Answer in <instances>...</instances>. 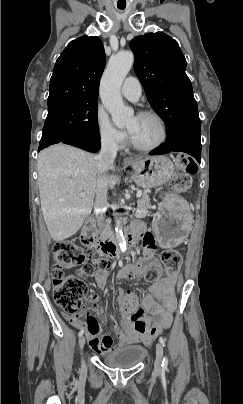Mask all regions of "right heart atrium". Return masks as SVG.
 Segmentation results:
<instances>
[{
  "mask_svg": "<svg viewBox=\"0 0 243 404\" xmlns=\"http://www.w3.org/2000/svg\"><path fill=\"white\" fill-rule=\"evenodd\" d=\"M95 123L99 140L103 145L115 150H121L126 146L128 142L126 134L113 125L108 113L101 106L96 109Z\"/></svg>",
  "mask_w": 243,
  "mask_h": 404,
  "instance_id": "d8ad5b80",
  "label": "right heart atrium"
}]
</instances>
